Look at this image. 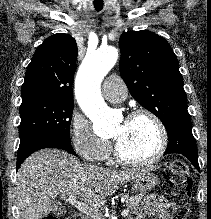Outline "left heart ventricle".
I'll list each match as a JSON object with an SVG mask.
<instances>
[{
	"instance_id": "obj_1",
	"label": "left heart ventricle",
	"mask_w": 211,
	"mask_h": 219,
	"mask_svg": "<svg viewBox=\"0 0 211 219\" xmlns=\"http://www.w3.org/2000/svg\"><path fill=\"white\" fill-rule=\"evenodd\" d=\"M111 138L124 156L135 160L151 157L159 145L158 129L147 117L118 123Z\"/></svg>"
}]
</instances>
